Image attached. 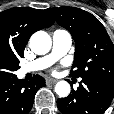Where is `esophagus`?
<instances>
[{"label":"esophagus","instance_id":"34e87169","mask_svg":"<svg viewBox=\"0 0 114 114\" xmlns=\"http://www.w3.org/2000/svg\"><path fill=\"white\" fill-rule=\"evenodd\" d=\"M56 82H57V80L56 79H53V78H47L46 79V84H54Z\"/></svg>","mask_w":114,"mask_h":114}]
</instances>
